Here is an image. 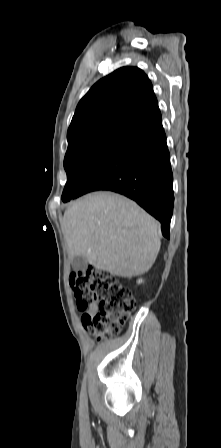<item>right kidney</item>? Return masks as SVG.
<instances>
[{"mask_svg":"<svg viewBox=\"0 0 221 448\" xmlns=\"http://www.w3.org/2000/svg\"><path fill=\"white\" fill-rule=\"evenodd\" d=\"M141 282H142V280H139V281H138V283H141Z\"/></svg>","mask_w":221,"mask_h":448,"instance_id":"obj_1","label":"right kidney"}]
</instances>
